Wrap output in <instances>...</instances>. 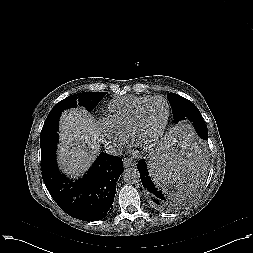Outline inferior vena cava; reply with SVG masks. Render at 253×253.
Returning <instances> with one entry per match:
<instances>
[{"label":"inferior vena cava","mask_w":253,"mask_h":253,"mask_svg":"<svg viewBox=\"0 0 253 253\" xmlns=\"http://www.w3.org/2000/svg\"><path fill=\"white\" fill-rule=\"evenodd\" d=\"M105 151L111 155H119L122 152L121 146L117 145L115 142H106Z\"/></svg>","instance_id":"602c4592"}]
</instances>
